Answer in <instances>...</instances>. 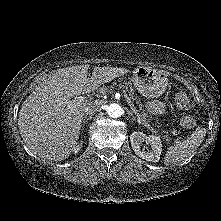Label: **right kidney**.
I'll use <instances>...</instances> for the list:
<instances>
[{"label": "right kidney", "instance_id": "right-kidney-1", "mask_svg": "<svg viewBox=\"0 0 221 221\" xmlns=\"http://www.w3.org/2000/svg\"><path fill=\"white\" fill-rule=\"evenodd\" d=\"M82 144H83V142L81 141V143L79 145L75 146L72 149V152H74L76 154L82 148Z\"/></svg>", "mask_w": 221, "mask_h": 221}]
</instances>
